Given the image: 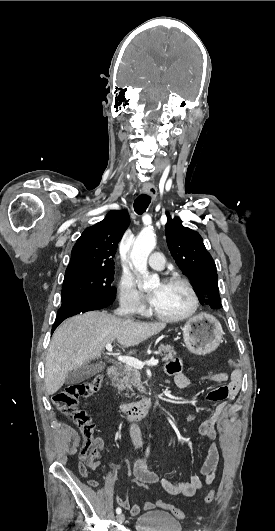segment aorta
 I'll list each match as a JSON object with an SVG mask.
<instances>
[{
	"label": "aorta",
	"instance_id": "aorta-1",
	"mask_svg": "<svg viewBox=\"0 0 275 531\" xmlns=\"http://www.w3.org/2000/svg\"><path fill=\"white\" fill-rule=\"evenodd\" d=\"M155 247L156 235L154 231L148 229V231H141L139 233L130 253V259L134 269L138 271L139 275H142L143 289H155V287H159L160 285L158 275H149L147 269L148 257L154 251Z\"/></svg>",
	"mask_w": 275,
	"mask_h": 531
}]
</instances>
